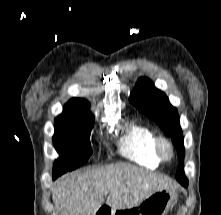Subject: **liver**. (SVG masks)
<instances>
[{
  "mask_svg": "<svg viewBox=\"0 0 221 215\" xmlns=\"http://www.w3.org/2000/svg\"><path fill=\"white\" fill-rule=\"evenodd\" d=\"M177 188L168 177L118 163L64 175L52 199L60 215H95L108 194L106 205L114 211L137 206L155 191Z\"/></svg>",
  "mask_w": 221,
  "mask_h": 215,
  "instance_id": "6515ba94",
  "label": "liver"
}]
</instances>
